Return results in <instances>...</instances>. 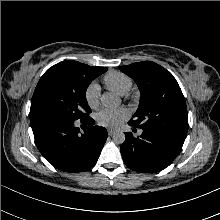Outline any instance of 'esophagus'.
<instances>
[{
	"instance_id": "obj_1",
	"label": "esophagus",
	"mask_w": 220,
	"mask_h": 220,
	"mask_svg": "<svg viewBox=\"0 0 220 220\" xmlns=\"http://www.w3.org/2000/svg\"><path fill=\"white\" fill-rule=\"evenodd\" d=\"M114 133H115V130H113V129H108V134H109L110 136H112Z\"/></svg>"
}]
</instances>
